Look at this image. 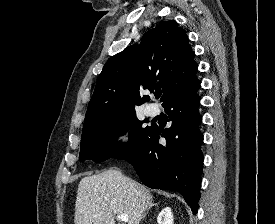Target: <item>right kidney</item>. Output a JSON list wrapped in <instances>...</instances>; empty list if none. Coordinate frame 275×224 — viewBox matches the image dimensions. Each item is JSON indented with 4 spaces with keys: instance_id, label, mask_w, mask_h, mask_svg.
Returning <instances> with one entry per match:
<instances>
[{
    "instance_id": "obj_1",
    "label": "right kidney",
    "mask_w": 275,
    "mask_h": 224,
    "mask_svg": "<svg viewBox=\"0 0 275 224\" xmlns=\"http://www.w3.org/2000/svg\"><path fill=\"white\" fill-rule=\"evenodd\" d=\"M157 222L158 224H174L173 214L170 207L162 209L157 217Z\"/></svg>"
}]
</instances>
